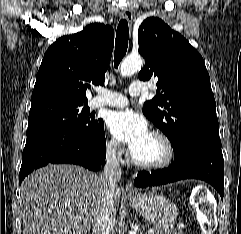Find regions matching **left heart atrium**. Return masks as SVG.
Instances as JSON below:
<instances>
[{
    "instance_id": "obj_1",
    "label": "left heart atrium",
    "mask_w": 241,
    "mask_h": 234,
    "mask_svg": "<svg viewBox=\"0 0 241 234\" xmlns=\"http://www.w3.org/2000/svg\"><path fill=\"white\" fill-rule=\"evenodd\" d=\"M107 125L114 137L128 145L131 153L135 152L150 134L146 120L129 110L111 113Z\"/></svg>"
}]
</instances>
